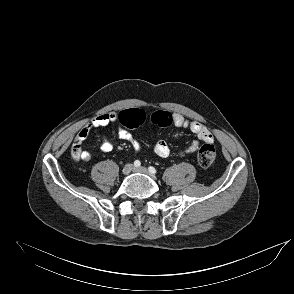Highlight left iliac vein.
<instances>
[{
	"mask_svg": "<svg viewBox=\"0 0 294 294\" xmlns=\"http://www.w3.org/2000/svg\"><path fill=\"white\" fill-rule=\"evenodd\" d=\"M133 171H134V172H137V173L146 174V175H148L150 178H152L153 180H156V179H157L156 176H155L154 174L150 173V172L148 171V169L145 168V167H135V168H133Z\"/></svg>",
	"mask_w": 294,
	"mask_h": 294,
	"instance_id": "4c4485c4",
	"label": "left iliac vein"
}]
</instances>
